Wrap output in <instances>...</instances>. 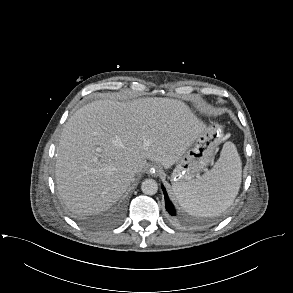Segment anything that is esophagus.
<instances>
[{"label":"esophagus","mask_w":293,"mask_h":293,"mask_svg":"<svg viewBox=\"0 0 293 293\" xmlns=\"http://www.w3.org/2000/svg\"><path fill=\"white\" fill-rule=\"evenodd\" d=\"M149 171H150V173L152 175H156L159 172H161V168L159 166H157V165H153V166L150 167Z\"/></svg>","instance_id":"esophagus-1"}]
</instances>
